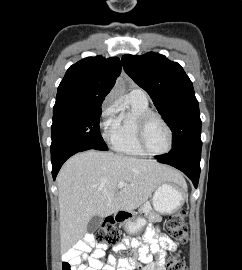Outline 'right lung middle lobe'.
<instances>
[{
    "instance_id": "1",
    "label": "right lung middle lobe",
    "mask_w": 242,
    "mask_h": 270,
    "mask_svg": "<svg viewBox=\"0 0 242 270\" xmlns=\"http://www.w3.org/2000/svg\"><path fill=\"white\" fill-rule=\"evenodd\" d=\"M101 105L53 108L51 157L80 147L107 150L99 131Z\"/></svg>"
}]
</instances>
